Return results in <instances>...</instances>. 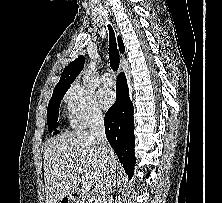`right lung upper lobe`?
<instances>
[{
    "label": "right lung upper lobe",
    "instance_id": "cb5924a9",
    "mask_svg": "<svg viewBox=\"0 0 222 203\" xmlns=\"http://www.w3.org/2000/svg\"><path fill=\"white\" fill-rule=\"evenodd\" d=\"M118 45L121 53L124 52V45L120 36H118ZM85 58L79 56L76 60L71 62L62 72L60 81L55 86L54 91L68 90L71 83L79 75L84 67Z\"/></svg>",
    "mask_w": 222,
    "mask_h": 203
}]
</instances>
